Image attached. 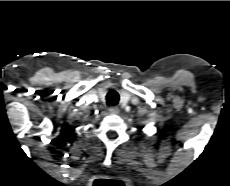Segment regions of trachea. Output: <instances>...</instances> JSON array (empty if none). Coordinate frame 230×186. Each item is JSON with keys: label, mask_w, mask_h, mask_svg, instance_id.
I'll return each instance as SVG.
<instances>
[{"label": "trachea", "mask_w": 230, "mask_h": 186, "mask_svg": "<svg viewBox=\"0 0 230 186\" xmlns=\"http://www.w3.org/2000/svg\"><path fill=\"white\" fill-rule=\"evenodd\" d=\"M120 96L116 90H110L106 95V102L109 106H115L118 104Z\"/></svg>", "instance_id": "trachea-1"}]
</instances>
